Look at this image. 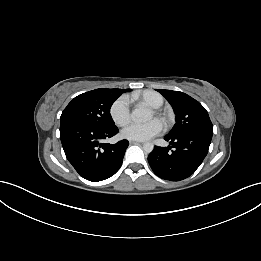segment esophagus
<instances>
[{
	"label": "esophagus",
	"instance_id": "obj_1",
	"mask_svg": "<svg viewBox=\"0 0 261 261\" xmlns=\"http://www.w3.org/2000/svg\"><path fill=\"white\" fill-rule=\"evenodd\" d=\"M129 142H130V144H133V145H138V144H142L143 143V142L134 141V140H130Z\"/></svg>",
	"mask_w": 261,
	"mask_h": 261
}]
</instances>
